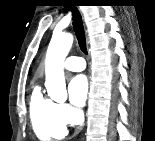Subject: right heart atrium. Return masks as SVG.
<instances>
[{
  "mask_svg": "<svg viewBox=\"0 0 155 141\" xmlns=\"http://www.w3.org/2000/svg\"><path fill=\"white\" fill-rule=\"evenodd\" d=\"M58 116L65 125H73L80 121L81 114L68 104H58Z\"/></svg>",
  "mask_w": 155,
  "mask_h": 141,
  "instance_id": "d8ad5b80",
  "label": "right heart atrium"
}]
</instances>
